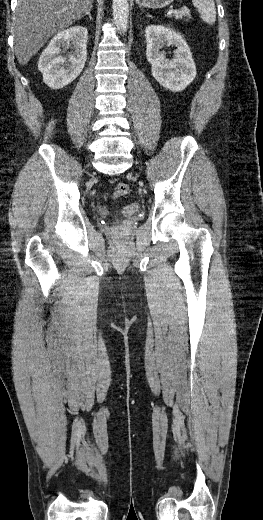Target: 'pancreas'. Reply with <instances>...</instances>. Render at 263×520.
<instances>
[{
  "mask_svg": "<svg viewBox=\"0 0 263 520\" xmlns=\"http://www.w3.org/2000/svg\"><path fill=\"white\" fill-rule=\"evenodd\" d=\"M183 16H186L187 18L185 19V21H189L191 19V16H190V11L188 9H182L180 11H176L174 13V18L175 19H182Z\"/></svg>",
  "mask_w": 263,
  "mask_h": 520,
  "instance_id": "pancreas-1",
  "label": "pancreas"
}]
</instances>
